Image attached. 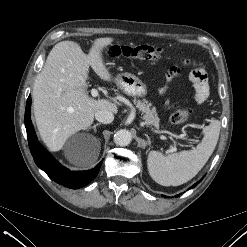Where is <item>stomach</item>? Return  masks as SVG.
<instances>
[{
	"mask_svg": "<svg viewBox=\"0 0 247 247\" xmlns=\"http://www.w3.org/2000/svg\"><path fill=\"white\" fill-rule=\"evenodd\" d=\"M115 81L125 94L133 97H144L147 95V86L138 77L130 73L118 74Z\"/></svg>",
	"mask_w": 247,
	"mask_h": 247,
	"instance_id": "1",
	"label": "stomach"
}]
</instances>
